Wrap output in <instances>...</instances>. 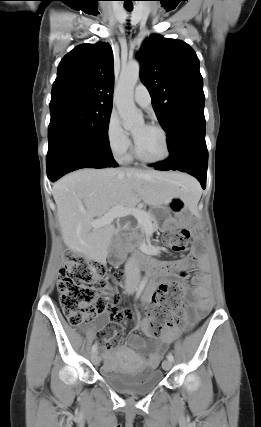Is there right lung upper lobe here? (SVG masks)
I'll use <instances>...</instances> for the list:
<instances>
[{
	"label": "right lung upper lobe",
	"instance_id": "right-lung-upper-lobe-1",
	"mask_svg": "<svg viewBox=\"0 0 261 427\" xmlns=\"http://www.w3.org/2000/svg\"><path fill=\"white\" fill-rule=\"evenodd\" d=\"M113 52L106 43L82 44L58 66L50 109L64 105L112 107Z\"/></svg>",
	"mask_w": 261,
	"mask_h": 427
}]
</instances>
